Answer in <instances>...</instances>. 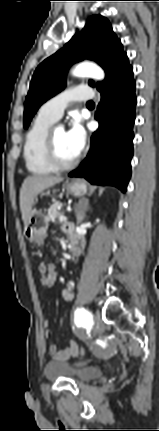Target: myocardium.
Here are the masks:
<instances>
[{
	"label": "myocardium",
	"instance_id": "f54148a6",
	"mask_svg": "<svg viewBox=\"0 0 159 431\" xmlns=\"http://www.w3.org/2000/svg\"><path fill=\"white\" fill-rule=\"evenodd\" d=\"M45 155L47 161L55 170H69L73 168L79 161L78 156H76V158L70 162H63L59 159L55 146L54 130H50L47 135L45 143Z\"/></svg>",
	"mask_w": 159,
	"mask_h": 431
}]
</instances>
